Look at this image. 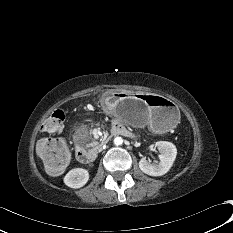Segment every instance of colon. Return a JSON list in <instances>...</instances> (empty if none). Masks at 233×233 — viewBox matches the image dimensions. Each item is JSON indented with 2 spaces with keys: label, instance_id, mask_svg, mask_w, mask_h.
I'll return each mask as SVG.
<instances>
[{
  "label": "colon",
  "instance_id": "5ec220e1",
  "mask_svg": "<svg viewBox=\"0 0 233 233\" xmlns=\"http://www.w3.org/2000/svg\"><path fill=\"white\" fill-rule=\"evenodd\" d=\"M66 114L65 108L55 110L43 121L42 131L48 134L59 132L62 129ZM36 150L46 172L50 175L62 173L70 163V147L62 138H41L37 143Z\"/></svg>",
  "mask_w": 233,
  "mask_h": 233
}]
</instances>
